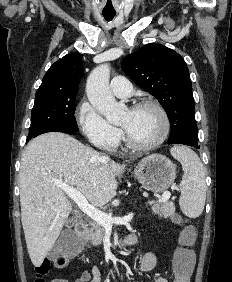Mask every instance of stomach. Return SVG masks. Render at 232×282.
I'll use <instances>...</instances> for the list:
<instances>
[{
	"mask_svg": "<svg viewBox=\"0 0 232 282\" xmlns=\"http://www.w3.org/2000/svg\"><path fill=\"white\" fill-rule=\"evenodd\" d=\"M133 174L145 189L161 193L173 184L176 165L164 155L151 154L137 164Z\"/></svg>",
	"mask_w": 232,
	"mask_h": 282,
	"instance_id": "stomach-1",
	"label": "stomach"
}]
</instances>
